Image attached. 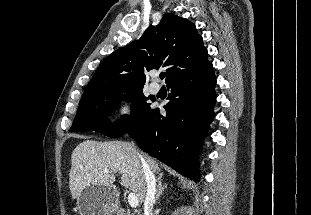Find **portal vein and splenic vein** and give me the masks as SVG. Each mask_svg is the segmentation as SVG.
Wrapping results in <instances>:
<instances>
[{"instance_id":"1","label":"portal vein and splenic vein","mask_w":311,"mask_h":215,"mask_svg":"<svg viewBox=\"0 0 311 215\" xmlns=\"http://www.w3.org/2000/svg\"><path fill=\"white\" fill-rule=\"evenodd\" d=\"M104 172L108 173L109 171L105 169ZM128 203L132 208H136L138 206L139 201L134 193H130L128 195Z\"/></svg>"}]
</instances>
